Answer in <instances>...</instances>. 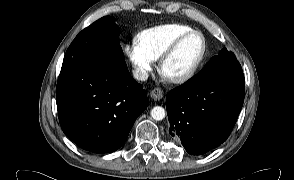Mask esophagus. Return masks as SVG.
I'll return each instance as SVG.
<instances>
[{"label": "esophagus", "mask_w": 294, "mask_h": 180, "mask_svg": "<svg viewBox=\"0 0 294 180\" xmlns=\"http://www.w3.org/2000/svg\"><path fill=\"white\" fill-rule=\"evenodd\" d=\"M150 96L153 100H160L163 97V90L159 87H156L150 91Z\"/></svg>", "instance_id": "obj_1"}]
</instances>
